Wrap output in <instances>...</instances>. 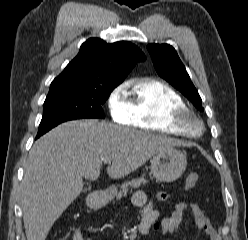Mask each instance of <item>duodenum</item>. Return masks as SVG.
I'll list each match as a JSON object with an SVG mask.
<instances>
[{"instance_id":"1","label":"duodenum","mask_w":248,"mask_h":240,"mask_svg":"<svg viewBox=\"0 0 248 240\" xmlns=\"http://www.w3.org/2000/svg\"><path fill=\"white\" fill-rule=\"evenodd\" d=\"M100 193H93L89 201L90 208H97L99 206Z\"/></svg>"}]
</instances>
